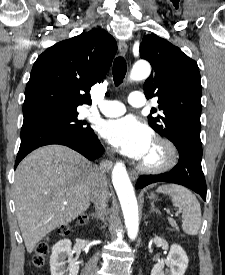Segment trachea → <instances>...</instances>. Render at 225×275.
<instances>
[{
	"mask_svg": "<svg viewBox=\"0 0 225 275\" xmlns=\"http://www.w3.org/2000/svg\"><path fill=\"white\" fill-rule=\"evenodd\" d=\"M127 66L123 57H117L113 63V79L116 86L123 82L126 75Z\"/></svg>",
	"mask_w": 225,
	"mask_h": 275,
	"instance_id": "1",
	"label": "trachea"
}]
</instances>
